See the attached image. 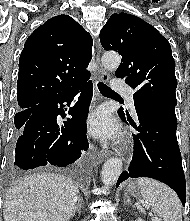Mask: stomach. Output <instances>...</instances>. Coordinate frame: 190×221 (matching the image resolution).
Returning a JSON list of instances; mask_svg holds the SVG:
<instances>
[{"mask_svg":"<svg viewBox=\"0 0 190 221\" xmlns=\"http://www.w3.org/2000/svg\"><path fill=\"white\" fill-rule=\"evenodd\" d=\"M125 193L131 196H139L141 194V190L135 182L130 181L126 184Z\"/></svg>","mask_w":190,"mask_h":221,"instance_id":"stomach-1","label":"stomach"}]
</instances>
